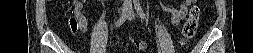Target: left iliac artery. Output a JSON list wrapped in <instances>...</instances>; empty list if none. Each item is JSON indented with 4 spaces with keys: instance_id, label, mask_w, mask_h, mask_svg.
<instances>
[{
    "instance_id": "obj_1",
    "label": "left iliac artery",
    "mask_w": 253,
    "mask_h": 53,
    "mask_svg": "<svg viewBox=\"0 0 253 53\" xmlns=\"http://www.w3.org/2000/svg\"><path fill=\"white\" fill-rule=\"evenodd\" d=\"M134 6H135V9H136L138 15L140 16V18L143 20H146V16H145L144 11L141 8L138 0H134Z\"/></svg>"
}]
</instances>
